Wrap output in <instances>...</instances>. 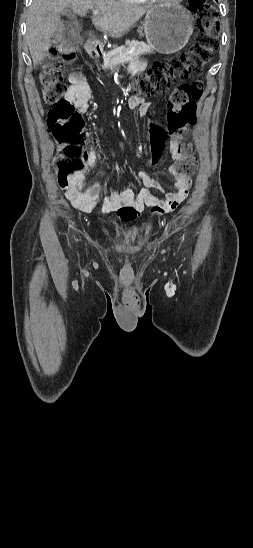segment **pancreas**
I'll list each match as a JSON object with an SVG mask.
<instances>
[{
  "mask_svg": "<svg viewBox=\"0 0 253 548\" xmlns=\"http://www.w3.org/2000/svg\"><path fill=\"white\" fill-rule=\"evenodd\" d=\"M131 49H133L132 52H130ZM153 52L152 46L133 41L126 46H119L112 51L103 54L102 69L106 70L116 67L121 63V59L128 57H130L132 61H138L141 55L151 54Z\"/></svg>",
  "mask_w": 253,
  "mask_h": 548,
  "instance_id": "cf45deb5",
  "label": "pancreas"
}]
</instances>
